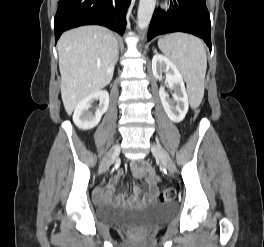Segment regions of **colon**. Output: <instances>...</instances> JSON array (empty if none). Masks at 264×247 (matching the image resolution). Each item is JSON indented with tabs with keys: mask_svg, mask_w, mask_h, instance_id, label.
<instances>
[{
	"mask_svg": "<svg viewBox=\"0 0 264 247\" xmlns=\"http://www.w3.org/2000/svg\"><path fill=\"white\" fill-rule=\"evenodd\" d=\"M175 197V191L173 189H165L159 194V200L167 202L173 200Z\"/></svg>",
	"mask_w": 264,
	"mask_h": 247,
	"instance_id": "5ec220e1",
	"label": "colon"
}]
</instances>
